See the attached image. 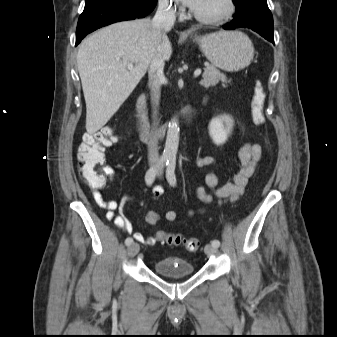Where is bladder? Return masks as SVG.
Wrapping results in <instances>:
<instances>
[{"instance_id":"obj_1","label":"bladder","mask_w":337,"mask_h":337,"mask_svg":"<svg viewBox=\"0 0 337 337\" xmlns=\"http://www.w3.org/2000/svg\"><path fill=\"white\" fill-rule=\"evenodd\" d=\"M154 271L164 277H183L195 273L194 265L179 256H166L154 263Z\"/></svg>"}]
</instances>
